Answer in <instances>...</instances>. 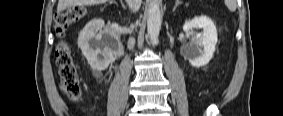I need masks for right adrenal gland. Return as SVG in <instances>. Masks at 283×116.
I'll return each instance as SVG.
<instances>
[{
  "label": "right adrenal gland",
  "mask_w": 283,
  "mask_h": 116,
  "mask_svg": "<svg viewBox=\"0 0 283 116\" xmlns=\"http://www.w3.org/2000/svg\"><path fill=\"white\" fill-rule=\"evenodd\" d=\"M122 7L123 9H126V6L124 5V3L121 1Z\"/></svg>",
  "instance_id": "obj_1"
}]
</instances>
